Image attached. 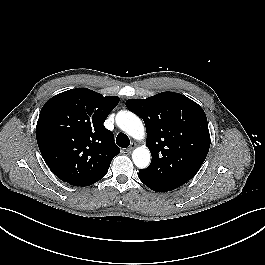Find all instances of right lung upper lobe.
Listing matches in <instances>:
<instances>
[{"label": "right lung upper lobe", "instance_id": "cb5924a9", "mask_svg": "<svg viewBox=\"0 0 265 265\" xmlns=\"http://www.w3.org/2000/svg\"><path fill=\"white\" fill-rule=\"evenodd\" d=\"M119 103L87 88L62 92L42 107L36 126L40 152L50 170L73 186H88L106 175L120 153L103 123Z\"/></svg>", "mask_w": 265, "mask_h": 265}]
</instances>
